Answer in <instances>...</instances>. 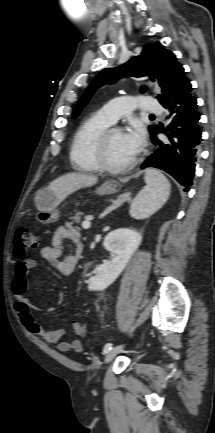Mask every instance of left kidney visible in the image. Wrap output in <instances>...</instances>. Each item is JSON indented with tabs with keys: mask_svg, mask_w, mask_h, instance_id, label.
<instances>
[{
	"mask_svg": "<svg viewBox=\"0 0 215 433\" xmlns=\"http://www.w3.org/2000/svg\"><path fill=\"white\" fill-rule=\"evenodd\" d=\"M142 236L129 228H119L110 232L104 240V247L115 257L97 267L96 275L89 281L88 289L102 291L111 285L126 267L129 259L137 250Z\"/></svg>",
	"mask_w": 215,
	"mask_h": 433,
	"instance_id": "obj_1",
	"label": "left kidney"
}]
</instances>
